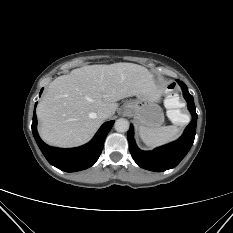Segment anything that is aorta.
Returning <instances> with one entry per match:
<instances>
[{
    "mask_svg": "<svg viewBox=\"0 0 233 233\" xmlns=\"http://www.w3.org/2000/svg\"><path fill=\"white\" fill-rule=\"evenodd\" d=\"M117 132H126L129 129V122L126 119L120 118L114 124Z\"/></svg>",
    "mask_w": 233,
    "mask_h": 233,
    "instance_id": "762f6f07",
    "label": "aorta"
}]
</instances>
